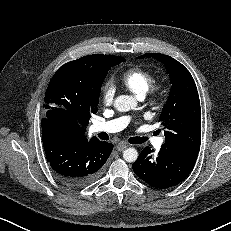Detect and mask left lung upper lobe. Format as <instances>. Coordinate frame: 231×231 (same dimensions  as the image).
I'll list each match as a JSON object with an SVG mask.
<instances>
[{
    "instance_id": "5c2ea615",
    "label": "left lung upper lobe",
    "mask_w": 231,
    "mask_h": 231,
    "mask_svg": "<svg viewBox=\"0 0 231 231\" xmlns=\"http://www.w3.org/2000/svg\"><path fill=\"white\" fill-rule=\"evenodd\" d=\"M151 57L165 65L172 84L169 99L159 121L164 126L165 143L170 152L197 157L201 144V109L195 82L189 71L172 57L146 53L138 59Z\"/></svg>"
}]
</instances>
